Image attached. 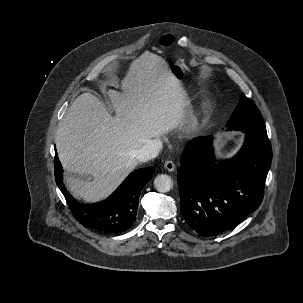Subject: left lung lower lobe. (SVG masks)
<instances>
[{
  "label": "left lung lower lobe",
  "mask_w": 303,
  "mask_h": 303,
  "mask_svg": "<svg viewBox=\"0 0 303 303\" xmlns=\"http://www.w3.org/2000/svg\"><path fill=\"white\" fill-rule=\"evenodd\" d=\"M212 140L202 136L188 143L178 171L181 213L206 237L235 227L260 206L272 161L269 141L246 133L238 154L216 163Z\"/></svg>",
  "instance_id": "obj_1"
}]
</instances>
